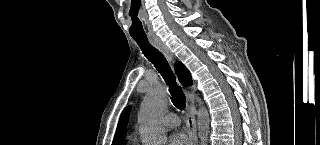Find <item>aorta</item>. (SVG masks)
<instances>
[{"label": "aorta", "instance_id": "1", "mask_svg": "<svg viewBox=\"0 0 320 145\" xmlns=\"http://www.w3.org/2000/svg\"><path fill=\"white\" fill-rule=\"evenodd\" d=\"M167 96L161 85H154L141 104L139 131L145 145H164L166 133L161 125V117L166 109ZM197 124L201 144L207 142L209 118L206 110L198 111Z\"/></svg>", "mask_w": 320, "mask_h": 145}]
</instances>
